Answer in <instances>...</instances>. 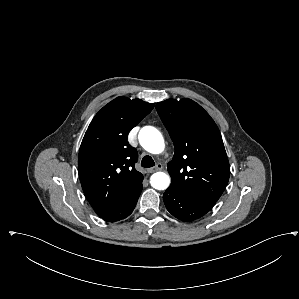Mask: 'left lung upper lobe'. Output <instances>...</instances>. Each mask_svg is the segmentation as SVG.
Segmentation results:
<instances>
[{
  "instance_id": "obj_1",
  "label": "left lung upper lobe",
  "mask_w": 299,
  "mask_h": 299,
  "mask_svg": "<svg viewBox=\"0 0 299 299\" xmlns=\"http://www.w3.org/2000/svg\"><path fill=\"white\" fill-rule=\"evenodd\" d=\"M156 109L175 147L173 159L167 165L170 186L212 208L230 176L217 125L191 99H167L157 103Z\"/></svg>"
}]
</instances>
